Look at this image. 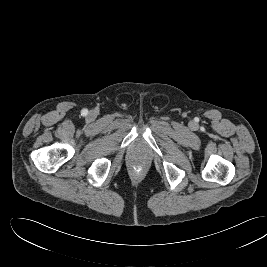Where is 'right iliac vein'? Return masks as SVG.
Wrapping results in <instances>:
<instances>
[{
	"label": "right iliac vein",
	"mask_w": 267,
	"mask_h": 267,
	"mask_svg": "<svg viewBox=\"0 0 267 267\" xmlns=\"http://www.w3.org/2000/svg\"><path fill=\"white\" fill-rule=\"evenodd\" d=\"M88 117H89V119H93L94 118V114L91 112V113H89Z\"/></svg>",
	"instance_id": "right-iliac-vein-1"
}]
</instances>
